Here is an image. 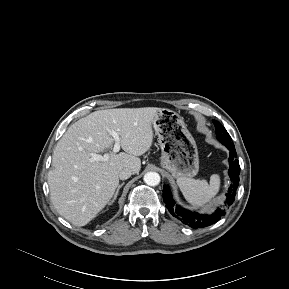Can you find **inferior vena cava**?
I'll use <instances>...</instances> for the list:
<instances>
[{"label": "inferior vena cava", "mask_w": 289, "mask_h": 289, "mask_svg": "<svg viewBox=\"0 0 289 289\" xmlns=\"http://www.w3.org/2000/svg\"><path fill=\"white\" fill-rule=\"evenodd\" d=\"M133 174V171L129 168H125L118 173V177L121 180L128 179Z\"/></svg>", "instance_id": "1"}]
</instances>
